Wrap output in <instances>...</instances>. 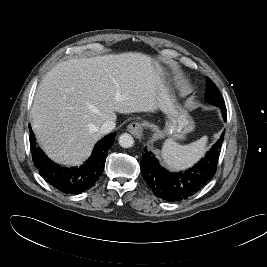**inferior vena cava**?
Wrapping results in <instances>:
<instances>
[{
	"mask_svg": "<svg viewBox=\"0 0 267 267\" xmlns=\"http://www.w3.org/2000/svg\"><path fill=\"white\" fill-rule=\"evenodd\" d=\"M115 126H116V124L114 121L106 120L102 124L100 131L102 134H107V133L111 132L115 128Z\"/></svg>",
	"mask_w": 267,
	"mask_h": 267,
	"instance_id": "602c4592",
	"label": "inferior vena cava"
}]
</instances>
